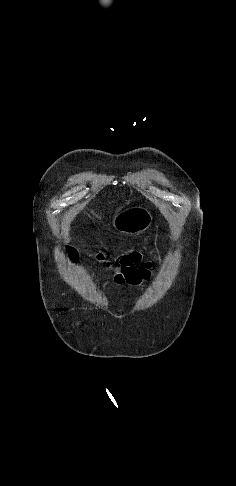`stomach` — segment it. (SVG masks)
Listing matches in <instances>:
<instances>
[{
	"label": "stomach",
	"mask_w": 236,
	"mask_h": 486,
	"mask_svg": "<svg viewBox=\"0 0 236 486\" xmlns=\"http://www.w3.org/2000/svg\"><path fill=\"white\" fill-rule=\"evenodd\" d=\"M152 220L153 215L147 208L136 206L117 214L112 221V225L120 233L133 235L148 229Z\"/></svg>",
	"instance_id": "stomach-1"
}]
</instances>
